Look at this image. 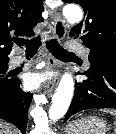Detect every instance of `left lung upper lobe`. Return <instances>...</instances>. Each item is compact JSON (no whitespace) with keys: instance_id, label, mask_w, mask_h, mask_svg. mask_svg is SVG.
<instances>
[{"instance_id":"5c2ea615","label":"left lung upper lobe","mask_w":116,"mask_h":134,"mask_svg":"<svg viewBox=\"0 0 116 134\" xmlns=\"http://www.w3.org/2000/svg\"><path fill=\"white\" fill-rule=\"evenodd\" d=\"M70 3V0H63ZM84 9V20L70 36L80 38L93 59L116 60V0H75Z\"/></svg>"}]
</instances>
